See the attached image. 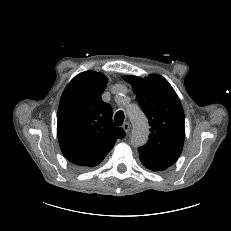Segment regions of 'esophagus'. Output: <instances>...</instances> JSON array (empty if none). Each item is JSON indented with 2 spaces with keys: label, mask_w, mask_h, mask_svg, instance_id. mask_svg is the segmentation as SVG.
<instances>
[{
  "label": "esophagus",
  "mask_w": 231,
  "mask_h": 231,
  "mask_svg": "<svg viewBox=\"0 0 231 231\" xmlns=\"http://www.w3.org/2000/svg\"><path fill=\"white\" fill-rule=\"evenodd\" d=\"M122 128L125 130V132L128 134L130 131V124L128 122H125L122 126Z\"/></svg>",
  "instance_id": "esophagus-1"
}]
</instances>
